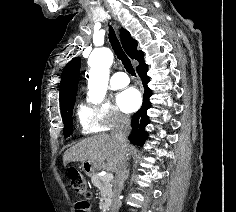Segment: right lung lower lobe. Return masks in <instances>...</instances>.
Returning a JSON list of instances; mask_svg holds the SVG:
<instances>
[{"label": "right lung lower lobe", "mask_w": 236, "mask_h": 212, "mask_svg": "<svg viewBox=\"0 0 236 212\" xmlns=\"http://www.w3.org/2000/svg\"><path fill=\"white\" fill-rule=\"evenodd\" d=\"M136 70L142 80L145 91L142 107L132 118V132L129 136V140L136 145L142 146L148 137L145 126L150 122L149 117L147 116V110L151 107L149 98L152 95V91L147 86L150 78L147 76L148 65L145 63L144 59L139 62Z\"/></svg>", "instance_id": "right-lung-lower-lobe-1"}]
</instances>
